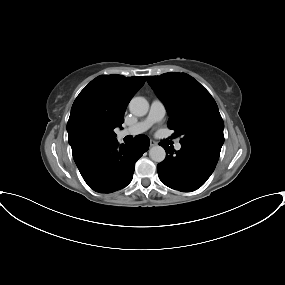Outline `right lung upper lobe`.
Segmentation results:
<instances>
[{
    "mask_svg": "<svg viewBox=\"0 0 285 285\" xmlns=\"http://www.w3.org/2000/svg\"><path fill=\"white\" fill-rule=\"evenodd\" d=\"M145 79V76H98L80 92L67 123L73 156L116 138L113 129L124 122L126 107Z\"/></svg>",
    "mask_w": 285,
    "mask_h": 285,
    "instance_id": "obj_1",
    "label": "right lung upper lobe"
}]
</instances>
